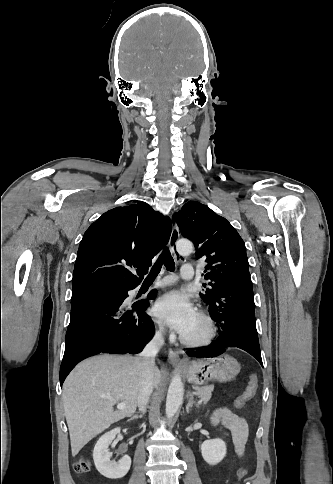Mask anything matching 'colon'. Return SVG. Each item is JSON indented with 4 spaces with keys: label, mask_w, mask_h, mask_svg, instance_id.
Instances as JSON below:
<instances>
[{
    "label": "colon",
    "mask_w": 333,
    "mask_h": 484,
    "mask_svg": "<svg viewBox=\"0 0 333 484\" xmlns=\"http://www.w3.org/2000/svg\"><path fill=\"white\" fill-rule=\"evenodd\" d=\"M258 378L255 374L250 375L247 386L243 393L235 400V407L241 408L249 402L257 393ZM74 469L79 474L87 473L90 470V463L86 459H80L76 462ZM247 474V469L241 467L237 472V478L242 479Z\"/></svg>",
    "instance_id": "colon-1"
}]
</instances>
